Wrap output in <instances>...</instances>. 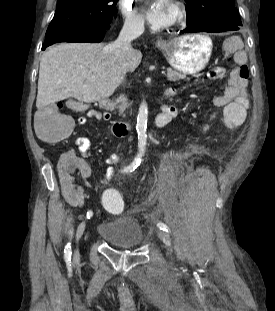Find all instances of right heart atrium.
Instances as JSON below:
<instances>
[{"mask_svg": "<svg viewBox=\"0 0 275 311\" xmlns=\"http://www.w3.org/2000/svg\"><path fill=\"white\" fill-rule=\"evenodd\" d=\"M119 7L125 27L136 32H140L144 29V18L142 14L138 12L132 0H120Z\"/></svg>", "mask_w": 275, "mask_h": 311, "instance_id": "1", "label": "right heart atrium"}]
</instances>
